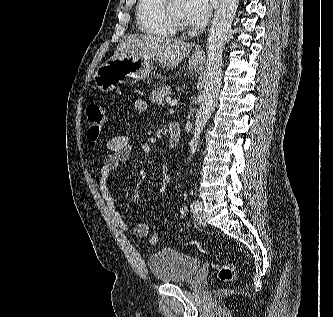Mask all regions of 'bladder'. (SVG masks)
<instances>
[{"instance_id": "obj_1", "label": "bladder", "mask_w": 333, "mask_h": 317, "mask_svg": "<svg viewBox=\"0 0 333 317\" xmlns=\"http://www.w3.org/2000/svg\"><path fill=\"white\" fill-rule=\"evenodd\" d=\"M153 277L167 284H185L194 280L201 261L174 249L163 248L152 253L147 260Z\"/></svg>"}]
</instances>
